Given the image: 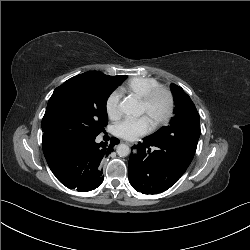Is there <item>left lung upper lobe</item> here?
<instances>
[{
	"label": "left lung upper lobe",
	"instance_id": "5c2ea615",
	"mask_svg": "<svg viewBox=\"0 0 250 250\" xmlns=\"http://www.w3.org/2000/svg\"><path fill=\"white\" fill-rule=\"evenodd\" d=\"M171 91L175 101V116L170 125L158 130L153 136H171L176 129H188L191 125L200 124L199 114L189 95L176 84H171Z\"/></svg>",
	"mask_w": 250,
	"mask_h": 250
}]
</instances>
